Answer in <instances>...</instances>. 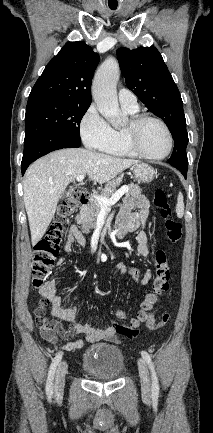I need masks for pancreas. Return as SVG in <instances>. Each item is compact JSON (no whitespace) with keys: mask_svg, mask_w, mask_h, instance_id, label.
I'll use <instances>...</instances> for the list:
<instances>
[{"mask_svg":"<svg viewBox=\"0 0 213 433\" xmlns=\"http://www.w3.org/2000/svg\"><path fill=\"white\" fill-rule=\"evenodd\" d=\"M120 179L117 178L115 180H112L108 182L104 189L101 191V195L106 198H110L114 191L116 190L117 185L119 184ZM129 191L126 193L127 196H139L142 192V188L140 186L135 185L133 183L128 185ZM101 206L100 204L95 200V197L93 196L90 199V202L83 206L80 210L79 215L77 216V223L81 225V229L84 233H88L91 229L95 228L96 226V219L100 212Z\"/></svg>","mask_w":213,"mask_h":433,"instance_id":"pancreas-1","label":"pancreas"}]
</instances>
